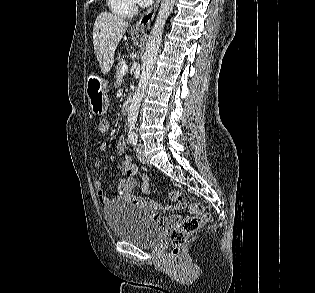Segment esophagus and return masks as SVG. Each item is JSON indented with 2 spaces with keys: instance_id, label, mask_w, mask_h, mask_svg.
Wrapping results in <instances>:
<instances>
[{
  "instance_id": "34e87169",
  "label": "esophagus",
  "mask_w": 315,
  "mask_h": 293,
  "mask_svg": "<svg viewBox=\"0 0 315 293\" xmlns=\"http://www.w3.org/2000/svg\"><path fill=\"white\" fill-rule=\"evenodd\" d=\"M160 0H155L153 6L139 19L136 25L133 27V31L137 33H145L148 26L150 25L157 9L159 6Z\"/></svg>"
}]
</instances>
